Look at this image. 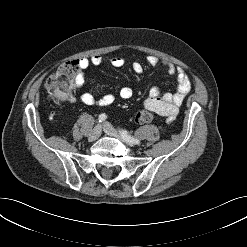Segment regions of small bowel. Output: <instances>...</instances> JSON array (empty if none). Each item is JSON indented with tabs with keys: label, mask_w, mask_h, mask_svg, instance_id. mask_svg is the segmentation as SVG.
Returning <instances> with one entry per match:
<instances>
[{
	"label": "small bowel",
	"mask_w": 247,
	"mask_h": 247,
	"mask_svg": "<svg viewBox=\"0 0 247 247\" xmlns=\"http://www.w3.org/2000/svg\"><path fill=\"white\" fill-rule=\"evenodd\" d=\"M108 61L113 67H120L125 63V59L123 57H112ZM102 62L103 57L100 55H95L90 58H80L78 60L79 82L77 87L79 89H82L85 84L86 71L88 68L91 66H100ZM147 62L152 67L163 65L167 72L170 75L175 76L177 79L178 87L175 92L162 94L158 88L152 87L149 89L148 97L144 101V107L147 110L165 115L169 121H172L177 116L179 107L185 96L191 90L190 78L182 67L168 61H161L154 55H149L147 57ZM132 69L136 74H141L144 70L143 65L139 62L133 63ZM118 95L122 99H129L132 96V89L129 87H123L120 89ZM79 98L84 104L87 105L97 104L100 106H108L115 101L116 96L115 94L107 93L101 95L100 97H96L90 91H81ZM74 101L75 98L73 97L68 99L69 103H74Z\"/></svg>",
	"instance_id": "obj_1"
}]
</instances>
